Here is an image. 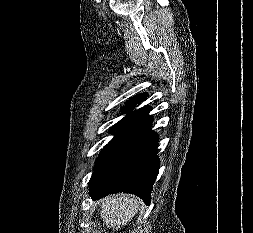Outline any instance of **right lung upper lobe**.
Returning <instances> with one entry per match:
<instances>
[{"mask_svg":"<svg viewBox=\"0 0 253 233\" xmlns=\"http://www.w3.org/2000/svg\"><path fill=\"white\" fill-rule=\"evenodd\" d=\"M147 96H148L147 93L136 95L132 99H130L129 101H127V104H134V105H136V104L144 101L147 98Z\"/></svg>","mask_w":253,"mask_h":233,"instance_id":"1","label":"right lung upper lobe"}]
</instances>
